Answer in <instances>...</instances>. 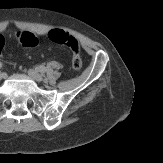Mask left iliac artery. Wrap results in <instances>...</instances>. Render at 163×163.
I'll use <instances>...</instances> for the list:
<instances>
[{
  "label": "left iliac artery",
  "mask_w": 163,
  "mask_h": 163,
  "mask_svg": "<svg viewBox=\"0 0 163 163\" xmlns=\"http://www.w3.org/2000/svg\"><path fill=\"white\" fill-rule=\"evenodd\" d=\"M35 70L41 72L42 74L46 72V67L43 65L35 67Z\"/></svg>",
  "instance_id": "obj_1"
}]
</instances>
